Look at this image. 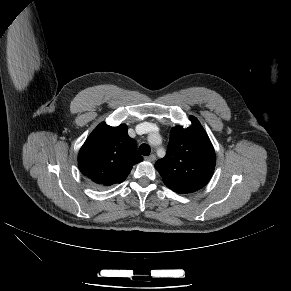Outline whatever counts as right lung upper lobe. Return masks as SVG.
Returning <instances> with one entry per match:
<instances>
[{
	"label": "right lung upper lobe",
	"instance_id": "cb5924a9",
	"mask_svg": "<svg viewBox=\"0 0 291 291\" xmlns=\"http://www.w3.org/2000/svg\"><path fill=\"white\" fill-rule=\"evenodd\" d=\"M142 161L136 142L127 134V126L99 124L78 154L80 171L94 184L107 187L123 182L133 165Z\"/></svg>",
	"mask_w": 291,
	"mask_h": 291
}]
</instances>
